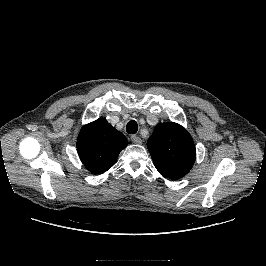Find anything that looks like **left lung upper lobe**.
Masks as SVG:
<instances>
[{
  "instance_id": "1",
  "label": "left lung upper lobe",
  "mask_w": 266,
  "mask_h": 266,
  "mask_svg": "<svg viewBox=\"0 0 266 266\" xmlns=\"http://www.w3.org/2000/svg\"><path fill=\"white\" fill-rule=\"evenodd\" d=\"M147 147L156 169L169 179L184 177L195 162L194 142L190 134L177 123L157 124L147 141Z\"/></svg>"
}]
</instances>
